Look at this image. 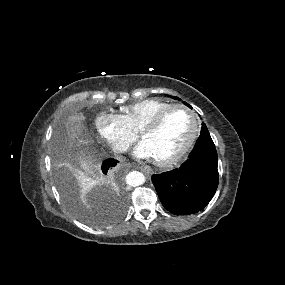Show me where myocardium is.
<instances>
[{
	"label": "myocardium",
	"mask_w": 285,
	"mask_h": 285,
	"mask_svg": "<svg viewBox=\"0 0 285 285\" xmlns=\"http://www.w3.org/2000/svg\"><path fill=\"white\" fill-rule=\"evenodd\" d=\"M176 110H183L185 111L189 117L192 120L193 123V131L192 134L187 141V143L184 145V147L179 150L174 156L165 159V160H155V163L160 167H172L176 164L180 163L183 159L187 157V155L191 152V150L194 148L201 132V123L197 116V114L189 107L183 104H173L160 112L158 115H156L154 118L146 122L140 129L139 137L142 138V132L145 130H155L158 129L164 121L168 118L170 114H172Z\"/></svg>",
	"instance_id": "obj_1"
}]
</instances>
